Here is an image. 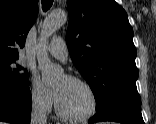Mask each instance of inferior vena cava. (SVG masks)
<instances>
[{
  "mask_svg": "<svg viewBox=\"0 0 156 124\" xmlns=\"http://www.w3.org/2000/svg\"><path fill=\"white\" fill-rule=\"evenodd\" d=\"M47 109L43 97L35 95L32 98L31 124H46Z\"/></svg>",
  "mask_w": 156,
  "mask_h": 124,
  "instance_id": "1",
  "label": "inferior vena cava"
}]
</instances>
